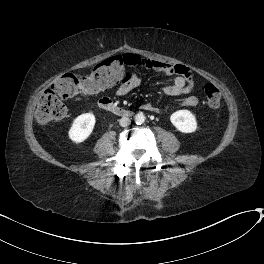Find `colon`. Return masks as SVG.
I'll return each instance as SVG.
<instances>
[{
  "label": "colon",
  "mask_w": 264,
  "mask_h": 264,
  "mask_svg": "<svg viewBox=\"0 0 264 264\" xmlns=\"http://www.w3.org/2000/svg\"><path fill=\"white\" fill-rule=\"evenodd\" d=\"M134 64L135 60L131 55L114 56L100 62L87 77L76 72L62 75L40 97L35 111L36 120L48 124L63 118L66 106L62 99L93 94L117 85L126 76L127 68ZM204 93L211 108L220 106L221 93L218 88L207 83Z\"/></svg>",
  "instance_id": "colon-1"
}]
</instances>
